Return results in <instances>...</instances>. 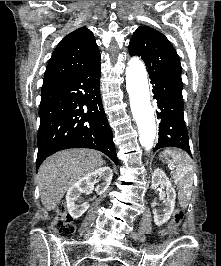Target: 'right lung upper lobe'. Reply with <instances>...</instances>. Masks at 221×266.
Returning a JSON list of instances; mask_svg holds the SVG:
<instances>
[{"label": "right lung upper lobe", "instance_id": "1", "mask_svg": "<svg viewBox=\"0 0 221 266\" xmlns=\"http://www.w3.org/2000/svg\"><path fill=\"white\" fill-rule=\"evenodd\" d=\"M100 59L93 33L81 27L65 36L54 50L42 87L48 88L78 75L97 65Z\"/></svg>", "mask_w": 221, "mask_h": 266}]
</instances>
